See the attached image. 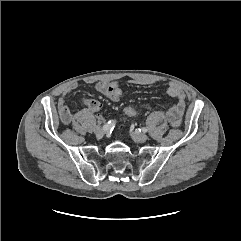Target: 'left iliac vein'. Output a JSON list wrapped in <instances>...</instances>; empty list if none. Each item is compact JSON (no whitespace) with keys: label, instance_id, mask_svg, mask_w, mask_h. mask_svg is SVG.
Returning a JSON list of instances; mask_svg holds the SVG:
<instances>
[{"label":"left iliac vein","instance_id":"left-iliac-vein-1","mask_svg":"<svg viewBox=\"0 0 241 241\" xmlns=\"http://www.w3.org/2000/svg\"><path fill=\"white\" fill-rule=\"evenodd\" d=\"M131 137L133 138V140L135 142H140V143L145 142L146 140H148V135L147 134L140 133V132H137V131L132 132L131 133Z\"/></svg>","mask_w":241,"mask_h":241}]
</instances>
